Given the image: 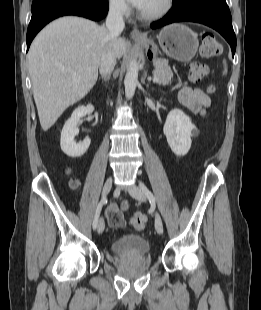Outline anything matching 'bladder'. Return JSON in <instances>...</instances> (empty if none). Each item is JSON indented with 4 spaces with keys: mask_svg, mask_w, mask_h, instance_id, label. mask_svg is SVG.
<instances>
[{
    "mask_svg": "<svg viewBox=\"0 0 261 310\" xmlns=\"http://www.w3.org/2000/svg\"><path fill=\"white\" fill-rule=\"evenodd\" d=\"M111 250L117 256L142 257L150 253L151 245L142 235L127 234L115 240Z\"/></svg>",
    "mask_w": 261,
    "mask_h": 310,
    "instance_id": "obj_1",
    "label": "bladder"
}]
</instances>
